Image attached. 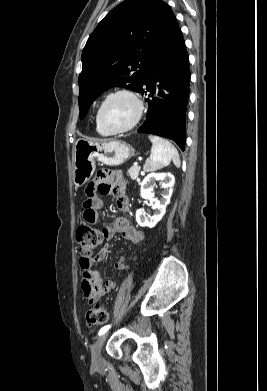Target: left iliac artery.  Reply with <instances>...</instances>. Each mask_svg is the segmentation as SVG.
Listing matches in <instances>:
<instances>
[{"instance_id": "44dca946", "label": "left iliac artery", "mask_w": 267, "mask_h": 391, "mask_svg": "<svg viewBox=\"0 0 267 391\" xmlns=\"http://www.w3.org/2000/svg\"><path fill=\"white\" fill-rule=\"evenodd\" d=\"M109 328H110V325H106L103 328H101L100 331H99V335H102L105 332H107Z\"/></svg>"}]
</instances>
